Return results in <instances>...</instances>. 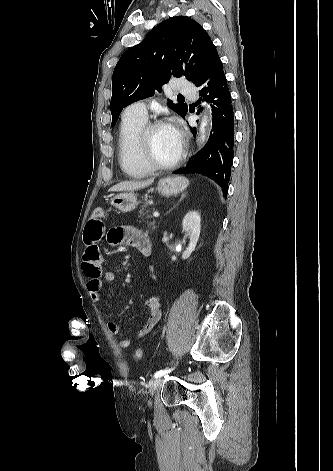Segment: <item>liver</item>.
Returning <instances> with one entry per match:
<instances>
[{
  "label": "liver",
  "mask_w": 333,
  "mask_h": 471,
  "mask_svg": "<svg viewBox=\"0 0 333 471\" xmlns=\"http://www.w3.org/2000/svg\"><path fill=\"white\" fill-rule=\"evenodd\" d=\"M154 179H149L146 181H124L113 186L110 191H135L147 186H150L153 183Z\"/></svg>",
  "instance_id": "obj_1"
}]
</instances>
